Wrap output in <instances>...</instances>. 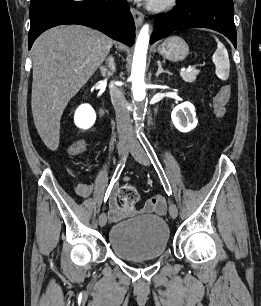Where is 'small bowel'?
Masks as SVG:
<instances>
[{
	"mask_svg": "<svg viewBox=\"0 0 261 306\" xmlns=\"http://www.w3.org/2000/svg\"><path fill=\"white\" fill-rule=\"evenodd\" d=\"M95 187L91 183H83L77 186L76 194L82 198H87L93 194ZM144 212L164 215L166 213V201L161 195H156L147 201L143 208ZM126 212L117 202L116 191L111 195L109 200V217L117 221L125 217Z\"/></svg>",
	"mask_w": 261,
	"mask_h": 306,
	"instance_id": "obj_1",
	"label": "small bowel"
}]
</instances>
